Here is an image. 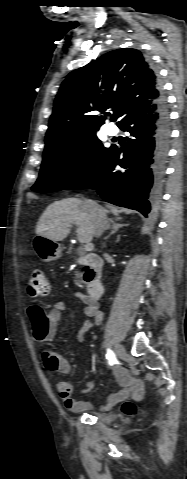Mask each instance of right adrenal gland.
<instances>
[{"mask_svg": "<svg viewBox=\"0 0 187 479\" xmlns=\"http://www.w3.org/2000/svg\"><path fill=\"white\" fill-rule=\"evenodd\" d=\"M110 224H111V232L109 233L108 236H106L104 238V240H107L110 238L111 235L115 234L121 227L123 226H128V224H122V223H118L116 222V220H113V219H110Z\"/></svg>", "mask_w": 187, "mask_h": 479, "instance_id": "right-adrenal-gland-1", "label": "right adrenal gland"}]
</instances>
